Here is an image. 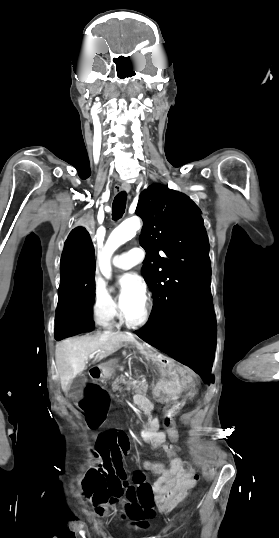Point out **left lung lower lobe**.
<instances>
[{"label":"left lung lower lobe","mask_w":279,"mask_h":538,"mask_svg":"<svg viewBox=\"0 0 279 538\" xmlns=\"http://www.w3.org/2000/svg\"><path fill=\"white\" fill-rule=\"evenodd\" d=\"M212 302L211 291L206 290L187 301L166 325L155 329L143 327L135 333L206 381L211 380L216 342Z\"/></svg>","instance_id":"left-lung-lower-lobe-1"}]
</instances>
